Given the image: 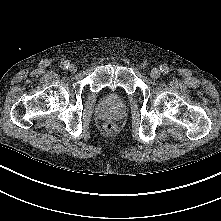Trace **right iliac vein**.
Here are the masks:
<instances>
[{"mask_svg": "<svg viewBox=\"0 0 221 221\" xmlns=\"http://www.w3.org/2000/svg\"><path fill=\"white\" fill-rule=\"evenodd\" d=\"M76 70H77V66L75 64L69 65V71L70 72L74 73V72H76Z\"/></svg>", "mask_w": 221, "mask_h": 221, "instance_id": "1", "label": "right iliac vein"}]
</instances>
